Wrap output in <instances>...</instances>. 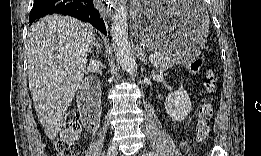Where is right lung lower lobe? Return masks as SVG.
Listing matches in <instances>:
<instances>
[{"label":"right lung lower lobe","mask_w":261,"mask_h":156,"mask_svg":"<svg viewBox=\"0 0 261 156\" xmlns=\"http://www.w3.org/2000/svg\"><path fill=\"white\" fill-rule=\"evenodd\" d=\"M64 14L91 23L99 31L107 35L105 24L92 0H34L29 22L48 14Z\"/></svg>","instance_id":"obj_1"}]
</instances>
